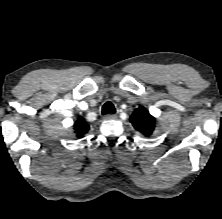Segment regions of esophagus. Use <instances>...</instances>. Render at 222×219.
Wrapping results in <instances>:
<instances>
[{"instance_id":"obj_1","label":"esophagus","mask_w":222,"mask_h":219,"mask_svg":"<svg viewBox=\"0 0 222 219\" xmlns=\"http://www.w3.org/2000/svg\"><path fill=\"white\" fill-rule=\"evenodd\" d=\"M117 116L115 114H108L104 117L105 120L116 119Z\"/></svg>"}]
</instances>
